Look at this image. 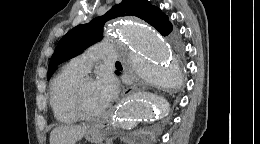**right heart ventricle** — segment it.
<instances>
[{
	"label": "right heart ventricle",
	"mask_w": 260,
	"mask_h": 144,
	"mask_svg": "<svg viewBox=\"0 0 260 144\" xmlns=\"http://www.w3.org/2000/svg\"><path fill=\"white\" fill-rule=\"evenodd\" d=\"M83 76L84 73L69 63L62 67L51 82L50 104L55 119L61 124H70L78 120L70 107V99L76 82Z\"/></svg>",
	"instance_id": "obj_1"
}]
</instances>
